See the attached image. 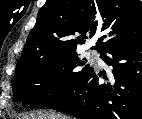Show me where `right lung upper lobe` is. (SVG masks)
Instances as JSON below:
<instances>
[{"mask_svg":"<svg viewBox=\"0 0 142 119\" xmlns=\"http://www.w3.org/2000/svg\"><path fill=\"white\" fill-rule=\"evenodd\" d=\"M96 31L103 33L92 47L98 52L142 38L141 2L47 0L28 35L16 71L45 56L74 51Z\"/></svg>","mask_w":142,"mask_h":119,"instance_id":"cb5924a9","label":"right lung upper lobe"}]
</instances>
